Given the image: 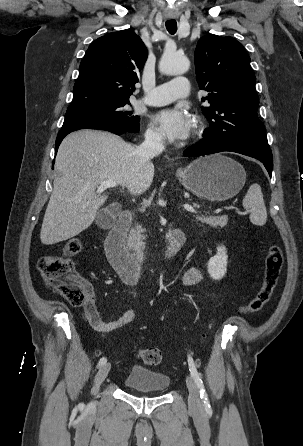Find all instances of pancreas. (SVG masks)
<instances>
[{
  "label": "pancreas",
  "instance_id": "cf45deb5",
  "mask_svg": "<svg viewBox=\"0 0 303 446\" xmlns=\"http://www.w3.org/2000/svg\"><path fill=\"white\" fill-rule=\"evenodd\" d=\"M195 207H199L198 204H194ZM196 220L202 224H208L213 228L224 227L227 225V216H196ZM145 232L140 225L133 227L128 236V249L132 251H142L144 249L143 240L145 236L142 233Z\"/></svg>",
  "mask_w": 303,
  "mask_h": 446
}]
</instances>
